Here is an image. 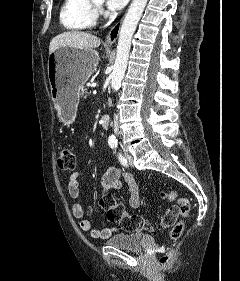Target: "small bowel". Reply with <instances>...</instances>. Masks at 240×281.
Wrapping results in <instances>:
<instances>
[{
  "instance_id": "obj_1",
  "label": "small bowel",
  "mask_w": 240,
  "mask_h": 281,
  "mask_svg": "<svg viewBox=\"0 0 240 281\" xmlns=\"http://www.w3.org/2000/svg\"><path fill=\"white\" fill-rule=\"evenodd\" d=\"M82 177V172H74L68 182V192L73 199H78L80 196L79 179ZM125 183L130 193L129 205L132 208H137L140 204L139 187L131 173L123 172L116 166H110L104 172L101 178L100 196L105 197L113 190L121 189ZM72 215L79 220L80 229L89 233L91 237L96 239H106L116 230V228L98 229L93 226L91 221L84 218V209L81 203H75L72 206Z\"/></svg>"
}]
</instances>
